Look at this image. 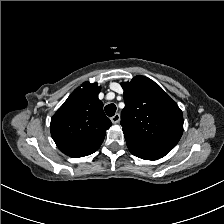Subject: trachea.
<instances>
[{"label": "trachea", "mask_w": 224, "mask_h": 224, "mask_svg": "<svg viewBox=\"0 0 224 224\" xmlns=\"http://www.w3.org/2000/svg\"><path fill=\"white\" fill-rule=\"evenodd\" d=\"M105 112L108 116H113L116 112L115 104H108L105 106Z\"/></svg>", "instance_id": "obj_1"}]
</instances>
